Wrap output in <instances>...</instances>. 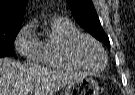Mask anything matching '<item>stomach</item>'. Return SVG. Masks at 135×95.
I'll return each instance as SVG.
<instances>
[{
    "label": "stomach",
    "instance_id": "obj_1",
    "mask_svg": "<svg viewBox=\"0 0 135 95\" xmlns=\"http://www.w3.org/2000/svg\"><path fill=\"white\" fill-rule=\"evenodd\" d=\"M65 95H100V87L93 78L85 76L69 84Z\"/></svg>",
    "mask_w": 135,
    "mask_h": 95
}]
</instances>
